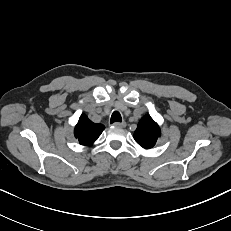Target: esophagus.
Returning <instances> with one entry per match:
<instances>
[{
    "label": "esophagus",
    "mask_w": 231,
    "mask_h": 231,
    "mask_svg": "<svg viewBox=\"0 0 231 231\" xmlns=\"http://www.w3.org/2000/svg\"><path fill=\"white\" fill-rule=\"evenodd\" d=\"M115 127L124 128L126 126L125 122H115L113 124Z\"/></svg>",
    "instance_id": "34e87169"
}]
</instances>
